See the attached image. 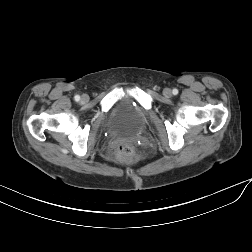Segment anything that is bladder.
<instances>
[{"label":"bladder","instance_id":"31cf9c89","mask_svg":"<svg viewBox=\"0 0 252 252\" xmlns=\"http://www.w3.org/2000/svg\"><path fill=\"white\" fill-rule=\"evenodd\" d=\"M147 111L131 97L121 98L110 112L104 129L111 135L131 137L146 124Z\"/></svg>","mask_w":252,"mask_h":252}]
</instances>
